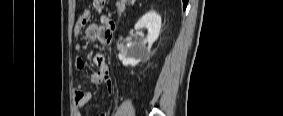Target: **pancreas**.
<instances>
[{
	"instance_id": "1",
	"label": "pancreas",
	"mask_w": 283,
	"mask_h": 116,
	"mask_svg": "<svg viewBox=\"0 0 283 116\" xmlns=\"http://www.w3.org/2000/svg\"><path fill=\"white\" fill-rule=\"evenodd\" d=\"M117 11H118V14L119 16H121L125 10V6L123 5V2L122 1H119L117 4Z\"/></svg>"
}]
</instances>
